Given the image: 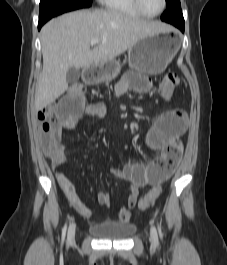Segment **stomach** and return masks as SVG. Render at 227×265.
Masks as SVG:
<instances>
[{"mask_svg":"<svg viewBox=\"0 0 227 265\" xmlns=\"http://www.w3.org/2000/svg\"><path fill=\"white\" fill-rule=\"evenodd\" d=\"M179 49V40L169 34H154L137 40L128 49L129 66L139 72L157 75L165 71ZM120 71V64L111 60L90 68L88 83L108 82Z\"/></svg>","mask_w":227,"mask_h":265,"instance_id":"obj_1","label":"stomach"}]
</instances>
